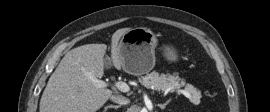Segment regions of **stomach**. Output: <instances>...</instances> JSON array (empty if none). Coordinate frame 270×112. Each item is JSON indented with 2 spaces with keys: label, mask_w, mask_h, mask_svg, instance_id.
Instances as JSON below:
<instances>
[{
  "label": "stomach",
  "mask_w": 270,
  "mask_h": 112,
  "mask_svg": "<svg viewBox=\"0 0 270 112\" xmlns=\"http://www.w3.org/2000/svg\"><path fill=\"white\" fill-rule=\"evenodd\" d=\"M157 38L155 34L143 27L126 32L119 42V55L124 71L140 76L148 73L155 65V48ZM164 56L168 61H176L177 51L171 47H164Z\"/></svg>",
  "instance_id": "stomach-1"
}]
</instances>
